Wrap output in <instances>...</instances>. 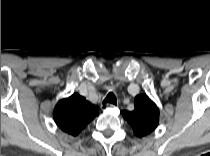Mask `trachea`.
Wrapping results in <instances>:
<instances>
[{"instance_id": "obj_1", "label": "trachea", "mask_w": 210, "mask_h": 156, "mask_svg": "<svg viewBox=\"0 0 210 156\" xmlns=\"http://www.w3.org/2000/svg\"><path fill=\"white\" fill-rule=\"evenodd\" d=\"M103 103H110V104L117 105V99L112 92H109V94L104 99Z\"/></svg>"}]
</instances>
